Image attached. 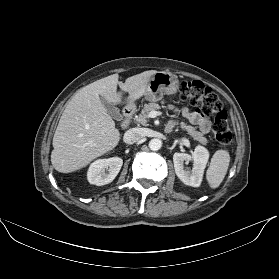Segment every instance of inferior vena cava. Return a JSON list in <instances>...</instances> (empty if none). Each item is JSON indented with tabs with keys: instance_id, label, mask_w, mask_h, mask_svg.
Listing matches in <instances>:
<instances>
[{
	"instance_id": "inferior-vena-cava-1",
	"label": "inferior vena cava",
	"mask_w": 279,
	"mask_h": 279,
	"mask_svg": "<svg viewBox=\"0 0 279 279\" xmlns=\"http://www.w3.org/2000/svg\"><path fill=\"white\" fill-rule=\"evenodd\" d=\"M144 137L142 131L138 128H132L124 134V141L128 144L140 141Z\"/></svg>"
}]
</instances>
